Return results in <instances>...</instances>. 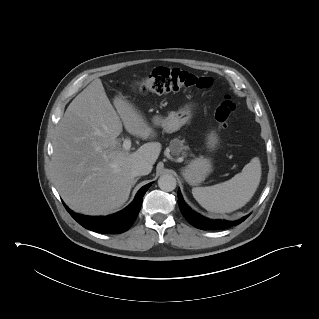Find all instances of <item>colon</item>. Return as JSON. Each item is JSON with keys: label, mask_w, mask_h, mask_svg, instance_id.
Returning a JSON list of instances; mask_svg holds the SVG:
<instances>
[{"label": "colon", "mask_w": 319, "mask_h": 319, "mask_svg": "<svg viewBox=\"0 0 319 319\" xmlns=\"http://www.w3.org/2000/svg\"><path fill=\"white\" fill-rule=\"evenodd\" d=\"M212 85L209 77H198L178 68L157 67L136 83L138 93L163 94L186 91L189 89H207ZM235 109L230 98H226L216 109L215 119L221 129L227 127V122Z\"/></svg>", "instance_id": "colon-1"}]
</instances>
